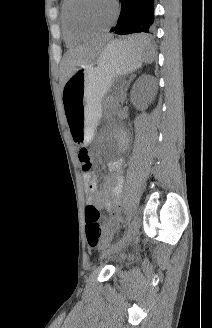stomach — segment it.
<instances>
[{
	"label": "stomach",
	"mask_w": 212,
	"mask_h": 328,
	"mask_svg": "<svg viewBox=\"0 0 212 328\" xmlns=\"http://www.w3.org/2000/svg\"><path fill=\"white\" fill-rule=\"evenodd\" d=\"M146 53L147 49H128L116 40L111 41L96 59V66L79 67L65 82L63 101L67 123L77 145H84L93 138L102 100L115 77L139 68Z\"/></svg>",
	"instance_id": "stomach-1"
}]
</instances>
